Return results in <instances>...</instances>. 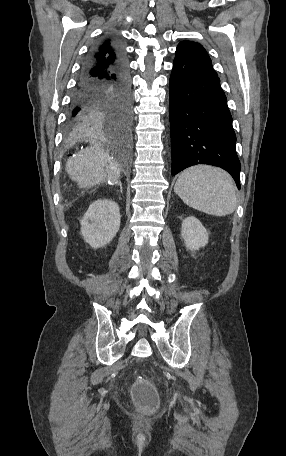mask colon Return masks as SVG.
Masks as SVG:
<instances>
[{"label": "colon", "instance_id": "obj_1", "mask_svg": "<svg viewBox=\"0 0 286 456\" xmlns=\"http://www.w3.org/2000/svg\"><path fill=\"white\" fill-rule=\"evenodd\" d=\"M133 398L136 404L145 410L154 409L158 403L157 391L155 387L144 381H139L134 385Z\"/></svg>", "mask_w": 286, "mask_h": 456}]
</instances>
